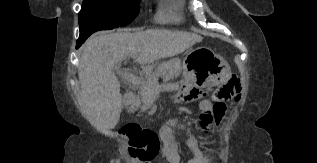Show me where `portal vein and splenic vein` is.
Masks as SVG:
<instances>
[{
    "mask_svg": "<svg viewBox=\"0 0 317 163\" xmlns=\"http://www.w3.org/2000/svg\"><path fill=\"white\" fill-rule=\"evenodd\" d=\"M135 59V57H133ZM121 77L124 78L125 81H127L128 83H131V84H143L145 81L140 78V77H137V76H134L133 74L131 73H128V72H121L120 73Z\"/></svg>",
    "mask_w": 317,
    "mask_h": 163,
    "instance_id": "portal-vein-and-splenic-vein-1",
    "label": "portal vein and splenic vein"
}]
</instances>
